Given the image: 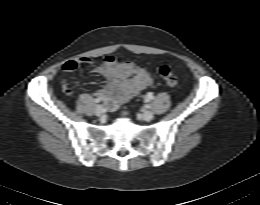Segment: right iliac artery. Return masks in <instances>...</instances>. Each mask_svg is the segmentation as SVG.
I'll return each mask as SVG.
<instances>
[{
  "instance_id": "right-iliac-artery-1",
  "label": "right iliac artery",
  "mask_w": 260,
  "mask_h": 205,
  "mask_svg": "<svg viewBox=\"0 0 260 205\" xmlns=\"http://www.w3.org/2000/svg\"><path fill=\"white\" fill-rule=\"evenodd\" d=\"M95 102H96V103H99V102H101V99H100V98H96V99H95Z\"/></svg>"
}]
</instances>
